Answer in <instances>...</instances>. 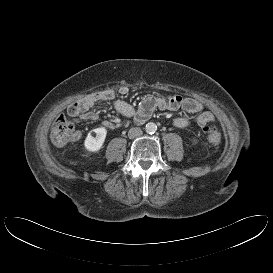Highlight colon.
<instances>
[{"instance_id": "colon-1", "label": "colon", "mask_w": 273, "mask_h": 273, "mask_svg": "<svg viewBox=\"0 0 273 273\" xmlns=\"http://www.w3.org/2000/svg\"><path fill=\"white\" fill-rule=\"evenodd\" d=\"M207 135L208 141L214 145L218 146L222 142V135L217 130V128L208 126L204 128ZM76 139V133L72 122L63 114H59L55 117L52 130H51V140L56 146H63Z\"/></svg>"}]
</instances>
